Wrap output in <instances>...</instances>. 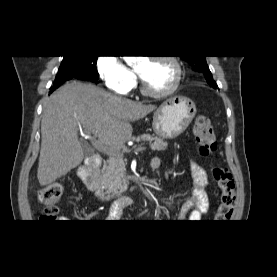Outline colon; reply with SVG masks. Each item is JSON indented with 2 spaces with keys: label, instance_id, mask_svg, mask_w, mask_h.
<instances>
[{
  "label": "colon",
  "instance_id": "colon-1",
  "mask_svg": "<svg viewBox=\"0 0 277 277\" xmlns=\"http://www.w3.org/2000/svg\"><path fill=\"white\" fill-rule=\"evenodd\" d=\"M194 138L199 146L201 155L207 157L215 153L217 149L214 128L210 119L199 114L193 125ZM213 178L218 186L219 201L215 214L218 222H226L233 214L235 204V184L228 168L215 166L212 169ZM63 194L60 183H52L39 191V201L44 205L40 216L42 222H56L59 212L58 202Z\"/></svg>",
  "mask_w": 277,
  "mask_h": 277
}]
</instances>
